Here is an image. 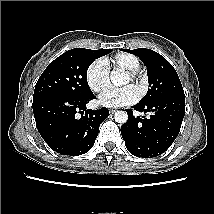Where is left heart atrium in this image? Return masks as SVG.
Returning <instances> with one entry per match:
<instances>
[{
    "label": "left heart atrium",
    "instance_id": "39dd6f15",
    "mask_svg": "<svg viewBox=\"0 0 214 214\" xmlns=\"http://www.w3.org/2000/svg\"><path fill=\"white\" fill-rule=\"evenodd\" d=\"M138 90L131 85L118 89H110L99 97V103L102 106L117 108L130 105L138 100Z\"/></svg>",
    "mask_w": 214,
    "mask_h": 214
}]
</instances>
